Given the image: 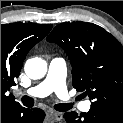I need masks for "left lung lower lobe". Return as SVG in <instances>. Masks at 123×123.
<instances>
[{
    "mask_svg": "<svg viewBox=\"0 0 123 123\" xmlns=\"http://www.w3.org/2000/svg\"><path fill=\"white\" fill-rule=\"evenodd\" d=\"M64 118L69 123H123V110L113 107H93L80 116L75 112L64 114Z\"/></svg>",
    "mask_w": 123,
    "mask_h": 123,
    "instance_id": "left-lung-lower-lobe-1",
    "label": "left lung lower lobe"
}]
</instances>
